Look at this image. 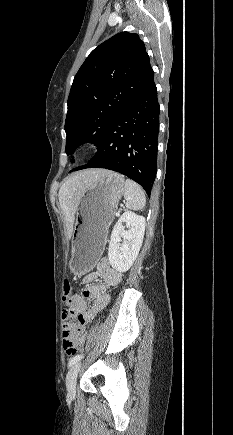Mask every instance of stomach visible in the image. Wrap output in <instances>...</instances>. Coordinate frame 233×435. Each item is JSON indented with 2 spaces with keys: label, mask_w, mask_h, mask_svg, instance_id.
<instances>
[{
  "label": "stomach",
  "mask_w": 233,
  "mask_h": 435,
  "mask_svg": "<svg viewBox=\"0 0 233 435\" xmlns=\"http://www.w3.org/2000/svg\"><path fill=\"white\" fill-rule=\"evenodd\" d=\"M125 191L124 177L109 171L85 191L77 208L69 267L76 276L90 272L100 258L108 227Z\"/></svg>",
  "instance_id": "0dacf381"
}]
</instances>
